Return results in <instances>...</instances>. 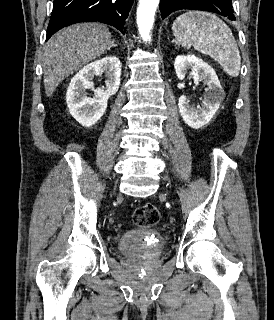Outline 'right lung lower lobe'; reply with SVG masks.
I'll return each mask as SVG.
<instances>
[{
    "instance_id": "right-lung-lower-lobe-1",
    "label": "right lung lower lobe",
    "mask_w": 274,
    "mask_h": 320,
    "mask_svg": "<svg viewBox=\"0 0 274 320\" xmlns=\"http://www.w3.org/2000/svg\"><path fill=\"white\" fill-rule=\"evenodd\" d=\"M132 4L133 0H54L46 40L63 27L88 21L109 24L124 34Z\"/></svg>"
}]
</instances>
